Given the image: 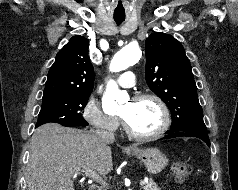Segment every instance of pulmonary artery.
<instances>
[{"label":"pulmonary artery","mask_w":238,"mask_h":190,"mask_svg":"<svg viewBox=\"0 0 238 190\" xmlns=\"http://www.w3.org/2000/svg\"><path fill=\"white\" fill-rule=\"evenodd\" d=\"M117 82L120 87H132L135 85V74L132 71H126L118 78Z\"/></svg>","instance_id":"obj_1"}]
</instances>
